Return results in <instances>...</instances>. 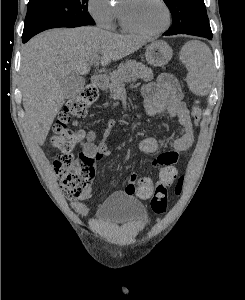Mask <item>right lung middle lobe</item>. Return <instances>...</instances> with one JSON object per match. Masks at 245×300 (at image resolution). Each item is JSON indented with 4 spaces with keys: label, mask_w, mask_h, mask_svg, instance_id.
Masks as SVG:
<instances>
[{
    "label": "right lung middle lobe",
    "mask_w": 245,
    "mask_h": 300,
    "mask_svg": "<svg viewBox=\"0 0 245 300\" xmlns=\"http://www.w3.org/2000/svg\"><path fill=\"white\" fill-rule=\"evenodd\" d=\"M94 24L88 0H29L22 38L51 28Z\"/></svg>",
    "instance_id": "1"
}]
</instances>
